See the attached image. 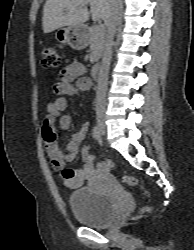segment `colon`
<instances>
[{"label":"colon","instance_id":"obj_1","mask_svg":"<svg viewBox=\"0 0 194 250\" xmlns=\"http://www.w3.org/2000/svg\"><path fill=\"white\" fill-rule=\"evenodd\" d=\"M61 65V57L58 53V50L53 46H48L44 48L42 53L41 59V66L45 69H57ZM83 154V161L86 164H90L92 162V157L89 153V148L84 147L82 150ZM123 181L133 187H140L143 189L142 185L140 184L139 180L134 177L133 175H124ZM145 191V190H144ZM147 193V191H145ZM149 211V209H145L144 212Z\"/></svg>","mask_w":194,"mask_h":250}]
</instances>
